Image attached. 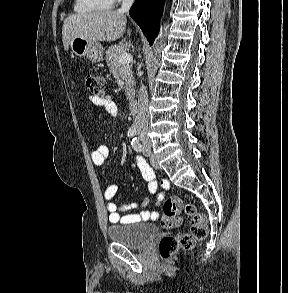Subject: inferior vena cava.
Instances as JSON below:
<instances>
[{
    "label": "inferior vena cava",
    "mask_w": 288,
    "mask_h": 293,
    "mask_svg": "<svg viewBox=\"0 0 288 293\" xmlns=\"http://www.w3.org/2000/svg\"><path fill=\"white\" fill-rule=\"evenodd\" d=\"M133 2L134 0H123L122 6L118 12L125 13L129 11ZM148 118V94L146 87L142 84L139 90L138 109L137 116L135 118V124L137 128V134L146 141H149L147 137Z\"/></svg>",
    "instance_id": "1"
}]
</instances>
